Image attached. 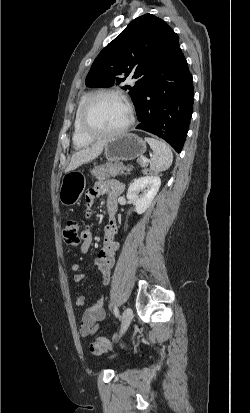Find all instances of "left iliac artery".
I'll use <instances>...</instances> for the list:
<instances>
[{"label":"left iliac artery","mask_w":250,"mask_h":413,"mask_svg":"<svg viewBox=\"0 0 250 413\" xmlns=\"http://www.w3.org/2000/svg\"><path fill=\"white\" fill-rule=\"evenodd\" d=\"M114 314H115L116 317L119 316V311H118V308L116 306L114 307Z\"/></svg>","instance_id":"1"}]
</instances>
